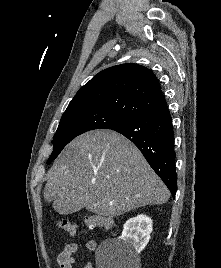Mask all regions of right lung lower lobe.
I'll list each match as a JSON object with an SVG mask.
<instances>
[{"label": "right lung lower lobe", "instance_id": "1", "mask_svg": "<svg viewBox=\"0 0 221 268\" xmlns=\"http://www.w3.org/2000/svg\"><path fill=\"white\" fill-rule=\"evenodd\" d=\"M131 140L173 197L177 189L174 131L168 107L123 121L111 128Z\"/></svg>", "mask_w": 221, "mask_h": 268}]
</instances>
